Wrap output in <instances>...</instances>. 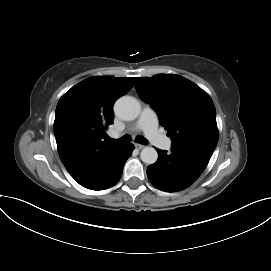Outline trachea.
Returning a JSON list of instances; mask_svg holds the SVG:
<instances>
[{
	"instance_id": "3493384b",
	"label": "trachea",
	"mask_w": 271,
	"mask_h": 271,
	"mask_svg": "<svg viewBox=\"0 0 271 271\" xmlns=\"http://www.w3.org/2000/svg\"><path fill=\"white\" fill-rule=\"evenodd\" d=\"M109 141L118 143V144H124V143H129L131 141V137L129 135H125L119 139L109 138ZM135 141L143 145H146L148 143L147 140L143 136H137Z\"/></svg>"
}]
</instances>
